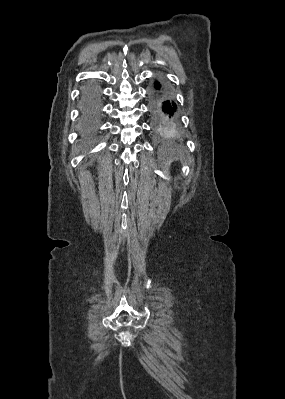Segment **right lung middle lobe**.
I'll return each mask as SVG.
<instances>
[{
  "label": "right lung middle lobe",
  "instance_id": "right-lung-middle-lobe-1",
  "mask_svg": "<svg viewBox=\"0 0 285 399\" xmlns=\"http://www.w3.org/2000/svg\"><path fill=\"white\" fill-rule=\"evenodd\" d=\"M99 107L98 89L90 85L83 94V113L86 117L93 116Z\"/></svg>",
  "mask_w": 285,
  "mask_h": 399
}]
</instances>
